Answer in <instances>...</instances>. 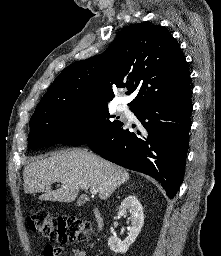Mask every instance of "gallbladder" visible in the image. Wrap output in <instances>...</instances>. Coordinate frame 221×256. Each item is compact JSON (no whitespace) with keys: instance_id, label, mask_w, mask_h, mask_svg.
<instances>
[{"instance_id":"bac80fb5","label":"gallbladder","mask_w":221,"mask_h":256,"mask_svg":"<svg viewBox=\"0 0 221 256\" xmlns=\"http://www.w3.org/2000/svg\"><path fill=\"white\" fill-rule=\"evenodd\" d=\"M87 201V197L86 196H81L78 201H77V206H82L83 204H85Z\"/></svg>"}]
</instances>
